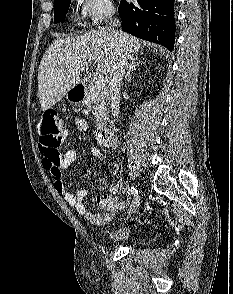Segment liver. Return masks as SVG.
Listing matches in <instances>:
<instances>
[{"mask_svg":"<svg viewBox=\"0 0 233 294\" xmlns=\"http://www.w3.org/2000/svg\"><path fill=\"white\" fill-rule=\"evenodd\" d=\"M140 48V39L105 29L54 40L39 65L38 96L42 111L55 105L79 84L82 72L91 61H97L96 71L109 81L117 53L122 51L132 59Z\"/></svg>","mask_w":233,"mask_h":294,"instance_id":"1","label":"liver"}]
</instances>
